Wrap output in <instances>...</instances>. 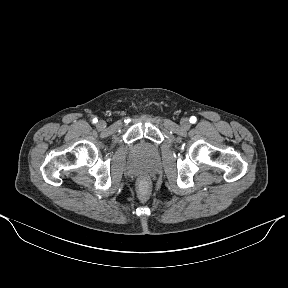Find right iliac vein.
<instances>
[{
    "instance_id": "right-iliac-vein-1",
    "label": "right iliac vein",
    "mask_w": 288,
    "mask_h": 288,
    "mask_svg": "<svg viewBox=\"0 0 288 288\" xmlns=\"http://www.w3.org/2000/svg\"><path fill=\"white\" fill-rule=\"evenodd\" d=\"M96 126L99 130H102L106 127V122L104 120H100Z\"/></svg>"
}]
</instances>
